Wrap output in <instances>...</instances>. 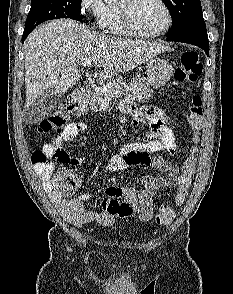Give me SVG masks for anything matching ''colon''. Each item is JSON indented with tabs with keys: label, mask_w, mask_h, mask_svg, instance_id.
<instances>
[{
	"label": "colon",
	"mask_w": 233,
	"mask_h": 294,
	"mask_svg": "<svg viewBox=\"0 0 233 294\" xmlns=\"http://www.w3.org/2000/svg\"><path fill=\"white\" fill-rule=\"evenodd\" d=\"M202 73V64L199 56L194 51H186L182 54L180 63L174 73V82L176 84L195 82ZM67 114L63 110H57L48 118L42 120L38 126L39 133H47L50 131L61 132L67 122ZM203 122V103L199 94H195L191 99L189 107L188 123L191 131L192 146L185 161L183 162L181 174L178 180V188L175 194V203L182 205L188 195L195 172V143L198 140L199 132ZM50 158L49 153L43 150H36L32 154V162L35 165L46 164ZM53 182L56 189L63 196L72 195L80 186V178L69 171H58ZM122 214L131 213V208L126 204H121L119 208ZM175 216L174 209L169 205H161L155 215V221L160 226H166L171 223Z\"/></svg>",
	"instance_id": "colon-1"
}]
</instances>
